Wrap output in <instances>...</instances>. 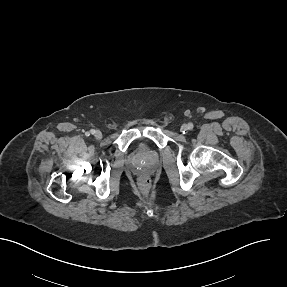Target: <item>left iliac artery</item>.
I'll return each mask as SVG.
<instances>
[{
	"mask_svg": "<svg viewBox=\"0 0 287 287\" xmlns=\"http://www.w3.org/2000/svg\"><path fill=\"white\" fill-rule=\"evenodd\" d=\"M188 128H189V130L193 129V124H192V123H189V124H188Z\"/></svg>",
	"mask_w": 287,
	"mask_h": 287,
	"instance_id": "1",
	"label": "left iliac artery"
}]
</instances>
